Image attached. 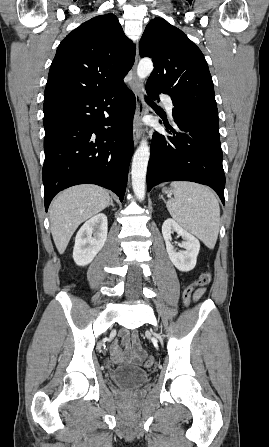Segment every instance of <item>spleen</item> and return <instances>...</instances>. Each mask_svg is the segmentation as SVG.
Returning <instances> with one entry per match:
<instances>
[{"label":"spleen","mask_w":269,"mask_h":447,"mask_svg":"<svg viewBox=\"0 0 269 447\" xmlns=\"http://www.w3.org/2000/svg\"><path fill=\"white\" fill-rule=\"evenodd\" d=\"M174 200L166 206L177 224L197 235L209 249H213L220 225L219 202L210 188L193 182H172Z\"/></svg>","instance_id":"spleen-1"}]
</instances>
